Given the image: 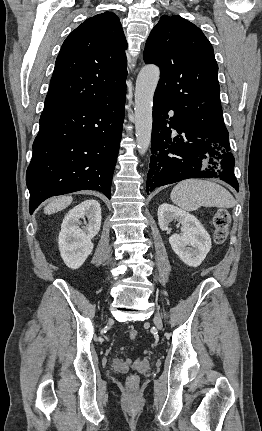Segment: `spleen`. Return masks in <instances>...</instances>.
<instances>
[{"instance_id": "1", "label": "spleen", "mask_w": 262, "mask_h": 431, "mask_svg": "<svg viewBox=\"0 0 262 431\" xmlns=\"http://www.w3.org/2000/svg\"><path fill=\"white\" fill-rule=\"evenodd\" d=\"M171 201L185 211H195L200 206L232 208L235 199L221 185L202 179L179 182L171 192Z\"/></svg>"}]
</instances>
